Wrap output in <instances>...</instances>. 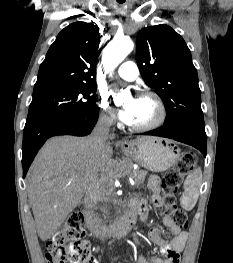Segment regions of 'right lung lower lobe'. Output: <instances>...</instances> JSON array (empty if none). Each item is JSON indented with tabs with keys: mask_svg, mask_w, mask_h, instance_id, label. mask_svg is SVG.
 <instances>
[{
	"mask_svg": "<svg viewBox=\"0 0 233 263\" xmlns=\"http://www.w3.org/2000/svg\"><path fill=\"white\" fill-rule=\"evenodd\" d=\"M98 119V109L81 115L57 117L24 128L22 144L23 177L38 150L55 135L85 136L91 133Z\"/></svg>",
	"mask_w": 233,
	"mask_h": 263,
	"instance_id": "right-lung-lower-lobe-1",
	"label": "right lung lower lobe"
}]
</instances>
